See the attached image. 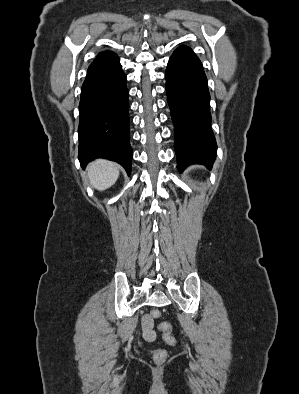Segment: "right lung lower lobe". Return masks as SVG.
Instances as JSON below:
<instances>
[{"label": "right lung lower lobe", "instance_id": "right-lung-lower-lobe-1", "mask_svg": "<svg viewBox=\"0 0 299 394\" xmlns=\"http://www.w3.org/2000/svg\"><path fill=\"white\" fill-rule=\"evenodd\" d=\"M126 75L115 53L102 55L88 68L79 104V161L84 168L106 158L131 172Z\"/></svg>", "mask_w": 299, "mask_h": 394}]
</instances>
